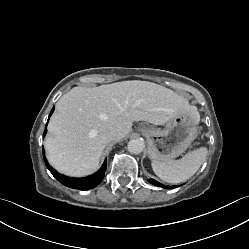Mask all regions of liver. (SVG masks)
Instances as JSON below:
<instances>
[{
    "label": "liver",
    "mask_w": 249,
    "mask_h": 249,
    "mask_svg": "<svg viewBox=\"0 0 249 249\" xmlns=\"http://www.w3.org/2000/svg\"><path fill=\"white\" fill-rule=\"evenodd\" d=\"M186 110L197 108L172 90L148 81L74 87L58 100L49 121L50 135L44 142L47 159L60 173L86 176L99 167L109 142L103 135L107 129H114L120 140L130 133L134 121L164 125Z\"/></svg>",
    "instance_id": "6515ba94"
}]
</instances>
